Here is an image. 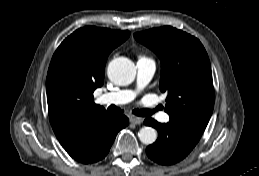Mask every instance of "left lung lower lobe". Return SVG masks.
<instances>
[{"label":"left lung lower lobe","instance_id":"0a47b994","mask_svg":"<svg viewBox=\"0 0 259 176\" xmlns=\"http://www.w3.org/2000/svg\"><path fill=\"white\" fill-rule=\"evenodd\" d=\"M144 123L158 131V139L146 148L147 156L161 165H172L184 159L196 146L202 133L173 122L161 124L152 118Z\"/></svg>","mask_w":259,"mask_h":176}]
</instances>
